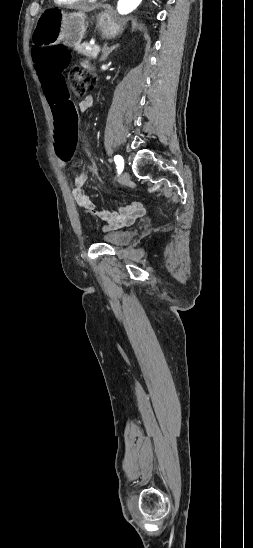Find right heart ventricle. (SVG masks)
<instances>
[{
    "label": "right heart ventricle",
    "instance_id": "1",
    "mask_svg": "<svg viewBox=\"0 0 253 548\" xmlns=\"http://www.w3.org/2000/svg\"><path fill=\"white\" fill-rule=\"evenodd\" d=\"M57 5H74L82 0H53Z\"/></svg>",
    "mask_w": 253,
    "mask_h": 548
}]
</instances>
